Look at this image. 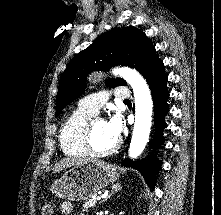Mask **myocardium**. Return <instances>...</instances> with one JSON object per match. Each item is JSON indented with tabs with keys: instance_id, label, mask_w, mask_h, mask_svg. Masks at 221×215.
<instances>
[{
	"instance_id": "myocardium-1",
	"label": "myocardium",
	"mask_w": 221,
	"mask_h": 215,
	"mask_svg": "<svg viewBox=\"0 0 221 215\" xmlns=\"http://www.w3.org/2000/svg\"><path fill=\"white\" fill-rule=\"evenodd\" d=\"M97 121H104V119L101 117L95 116L88 120L86 127H85L84 138H83L84 146L87 152L91 155L98 156V157L111 155L118 150L120 146V140H117L116 143L112 147L106 150H98L93 144V128H94L95 122Z\"/></svg>"
}]
</instances>
